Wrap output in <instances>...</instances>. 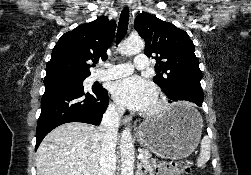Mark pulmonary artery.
I'll list each match as a JSON object with an SVG mask.
<instances>
[{
    "mask_svg": "<svg viewBox=\"0 0 251 175\" xmlns=\"http://www.w3.org/2000/svg\"><path fill=\"white\" fill-rule=\"evenodd\" d=\"M136 62H125L117 65H112L103 75L98 79L118 78L126 76L133 72L134 67L136 70L147 71V67H151L152 63L150 58L145 52H138L135 56Z\"/></svg>",
    "mask_w": 251,
    "mask_h": 175,
    "instance_id": "pulmonary-artery-1",
    "label": "pulmonary artery"
}]
</instances>
